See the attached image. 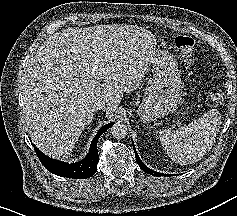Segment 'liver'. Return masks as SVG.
<instances>
[{"label": "liver", "instance_id": "obj_1", "mask_svg": "<svg viewBox=\"0 0 237 216\" xmlns=\"http://www.w3.org/2000/svg\"><path fill=\"white\" fill-rule=\"evenodd\" d=\"M113 26L68 28L41 44L26 71L24 117L32 141L47 153H65L96 117L101 99L119 105L140 87L145 68L120 61ZM113 117V111L105 114Z\"/></svg>", "mask_w": 237, "mask_h": 216}]
</instances>
